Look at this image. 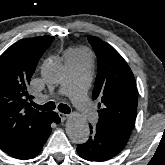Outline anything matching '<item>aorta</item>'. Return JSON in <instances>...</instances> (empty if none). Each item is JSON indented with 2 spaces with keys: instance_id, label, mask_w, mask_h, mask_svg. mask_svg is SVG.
Listing matches in <instances>:
<instances>
[{
  "instance_id": "1",
  "label": "aorta",
  "mask_w": 165,
  "mask_h": 165,
  "mask_svg": "<svg viewBox=\"0 0 165 165\" xmlns=\"http://www.w3.org/2000/svg\"><path fill=\"white\" fill-rule=\"evenodd\" d=\"M41 75L48 83H59L63 79L64 68L56 61H49L42 66ZM66 133L72 142L85 143L90 134L87 120L78 114L71 116L66 122Z\"/></svg>"
}]
</instances>
